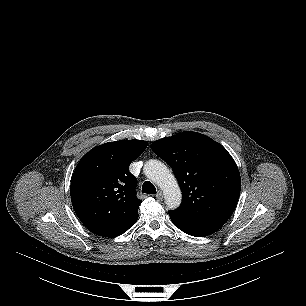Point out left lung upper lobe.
<instances>
[{
	"mask_svg": "<svg viewBox=\"0 0 306 306\" xmlns=\"http://www.w3.org/2000/svg\"><path fill=\"white\" fill-rule=\"evenodd\" d=\"M151 149L172 167L182 190V204L172 212L193 223L223 226L241 189L238 167L228 151L190 131L157 140Z\"/></svg>",
	"mask_w": 306,
	"mask_h": 306,
	"instance_id": "1",
	"label": "left lung upper lobe"
}]
</instances>
